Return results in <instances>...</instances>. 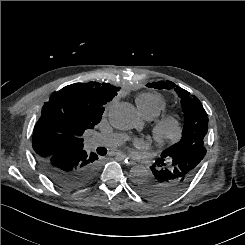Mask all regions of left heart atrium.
<instances>
[{
  "mask_svg": "<svg viewBox=\"0 0 245 245\" xmlns=\"http://www.w3.org/2000/svg\"><path fill=\"white\" fill-rule=\"evenodd\" d=\"M133 144L138 149H142L145 146L144 142L141 141V140H139V139L134 140V143Z\"/></svg>",
  "mask_w": 245,
  "mask_h": 245,
  "instance_id": "obj_1",
  "label": "left heart atrium"
}]
</instances>
